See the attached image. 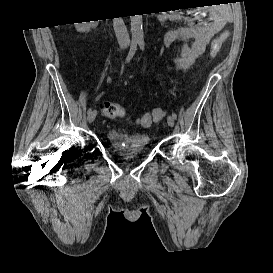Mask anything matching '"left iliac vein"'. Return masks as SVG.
<instances>
[{
	"label": "left iliac vein",
	"mask_w": 273,
	"mask_h": 273,
	"mask_svg": "<svg viewBox=\"0 0 273 273\" xmlns=\"http://www.w3.org/2000/svg\"><path fill=\"white\" fill-rule=\"evenodd\" d=\"M167 123H168V125H169L170 127H173V126H174L175 120H174V118H173L171 115H169V116L167 117Z\"/></svg>",
	"instance_id": "left-iliac-vein-1"
}]
</instances>
